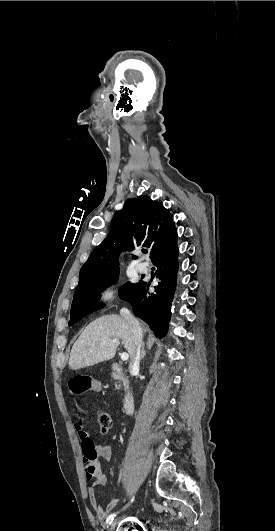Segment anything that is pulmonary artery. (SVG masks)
<instances>
[{"instance_id":"pulmonary-artery-1","label":"pulmonary artery","mask_w":275,"mask_h":531,"mask_svg":"<svg viewBox=\"0 0 275 531\" xmlns=\"http://www.w3.org/2000/svg\"><path fill=\"white\" fill-rule=\"evenodd\" d=\"M140 255H142V252H140ZM137 270L142 274H146L149 271V266L146 262H140L137 265Z\"/></svg>"}]
</instances>
